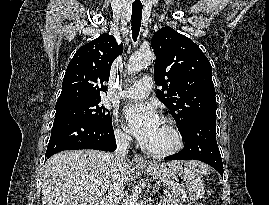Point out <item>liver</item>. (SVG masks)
<instances>
[{
  "label": "liver",
  "mask_w": 269,
  "mask_h": 205,
  "mask_svg": "<svg viewBox=\"0 0 269 205\" xmlns=\"http://www.w3.org/2000/svg\"><path fill=\"white\" fill-rule=\"evenodd\" d=\"M108 155L97 150H71L51 157L43 174L42 205H99L112 181L120 178L127 182L132 171L131 164L126 163L117 177ZM187 164L198 172L207 171L202 163Z\"/></svg>",
  "instance_id": "liver-1"
}]
</instances>
